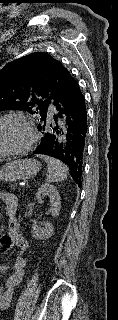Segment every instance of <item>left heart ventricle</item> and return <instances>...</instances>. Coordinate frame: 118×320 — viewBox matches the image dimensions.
I'll return each mask as SVG.
<instances>
[{"label":"left heart ventricle","mask_w":118,"mask_h":320,"mask_svg":"<svg viewBox=\"0 0 118 320\" xmlns=\"http://www.w3.org/2000/svg\"><path fill=\"white\" fill-rule=\"evenodd\" d=\"M24 125L18 121L0 123V149L9 150L19 147L26 140Z\"/></svg>","instance_id":"obj_1"}]
</instances>
